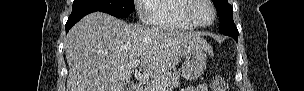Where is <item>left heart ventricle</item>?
Instances as JSON below:
<instances>
[{
  "label": "left heart ventricle",
  "instance_id": "obj_1",
  "mask_svg": "<svg viewBox=\"0 0 304 91\" xmlns=\"http://www.w3.org/2000/svg\"><path fill=\"white\" fill-rule=\"evenodd\" d=\"M194 14L196 19L203 24H207L212 20V10L205 3H201Z\"/></svg>",
  "mask_w": 304,
  "mask_h": 91
}]
</instances>
